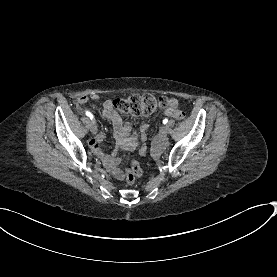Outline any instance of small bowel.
<instances>
[{
  "label": "small bowel",
  "instance_id": "c3829d8e",
  "mask_svg": "<svg viewBox=\"0 0 277 277\" xmlns=\"http://www.w3.org/2000/svg\"><path fill=\"white\" fill-rule=\"evenodd\" d=\"M92 98H95V95H92ZM96 99H99V96H96ZM100 100H104V97H100ZM79 101L82 102L79 98ZM86 102V101H85ZM178 102L176 99L171 98L168 101V108L166 109V114L173 116L176 113ZM93 108H96V105H93ZM102 116L110 121L113 131L118 139V147L120 149H134L136 145L140 142V152L144 155L146 153V146L144 144L147 138V131L149 129L148 124H143L140 127L139 134L131 135V124L129 122H124L121 116L114 108L113 101L106 100L103 103ZM107 135L104 132L97 134L96 139L104 141L106 140ZM90 147L100 158H104V163L107 168H110L111 172H114L115 176L118 179H123L124 174L121 170L117 169V163H123L124 157L120 154H114L112 157H104L102 151L99 149L98 144L95 140L90 142Z\"/></svg>",
  "mask_w": 277,
  "mask_h": 277
}]
</instances>
